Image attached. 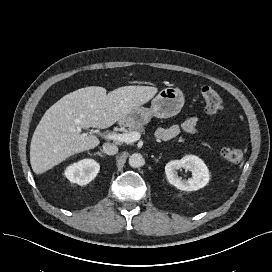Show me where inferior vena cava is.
<instances>
[{
    "instance_id": "inferior-vena-cava-1",
    "label": "inferior vena cava",
    "mask_w": 272,
    "mask_h": 272,
    "mask_svg": "<svg viewBox=\"0 0 272 272\" xmlns=\"http://www.w3.org/2000/svg\"><path fill=\"white\" fill-rule=\"evenodd\" d=\"M103 152L108 155H115L118 152V147L111 143H104L103 144Z\"/></svg>"
}]
</instances>
